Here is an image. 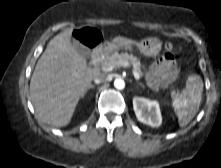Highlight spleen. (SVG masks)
<instances>
[{"mask_svg":"<svg viewBox=\"0 0 221 168\" xmlns=\"http://www.w3.org/2000/svg\"><path fill=\"white\" fill-rule=\"evenodd\" d=\"M203 92V81L198 74H191L186 89L172 101L180 127L186 126L197 113Z\"/></svg>","mask_w":221,"mask_h":168,"instance_id":"spleen-1","label":"spleen"}]
</instances>
